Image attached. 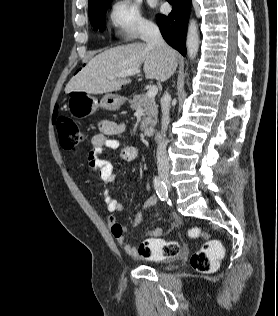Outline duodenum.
Listing matches in <instances>:
<instances>
[{"label":"duodenum","mask_w":278,"mask_h":316,"mask_svg":"<svg viewBox=\"0 0 278 316\" xmlns=\"http://www.w3.org/2000/svg\"><path fill=\"white\" fill-rule=\"evenodd\" d=\"M154 132H155V129L152 126L145 127V129H144V134L147 136L153 135Z\"/></svg>","instance_id":"410a0bca"}]
</instances>
